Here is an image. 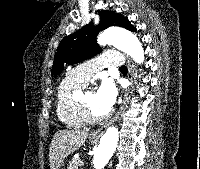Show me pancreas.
<instances>
[{
    "label": "pancreas",
    "mask_w": 200,
    "mask_h": 169,
    "mask_svg": "<svg viewBox=\"0 0 200 169\" xmlns=\"http://www.w3.org/2000/svg\"><path fill=\"white\" fill-rule=\"evenodd\" d=\"M81 159L80 158H73L72 161L69 164V167L67 169H79V163H80Z\"/></svg>",
    "instance_id": "1"
}]
</instances>
